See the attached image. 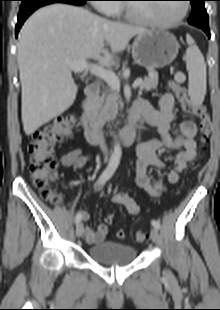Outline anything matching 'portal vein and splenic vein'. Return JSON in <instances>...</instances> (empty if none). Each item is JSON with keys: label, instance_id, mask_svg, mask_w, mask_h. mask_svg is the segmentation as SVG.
<instances>
[{"label": "portal vein and splenic vein", "instance_id": "obj_1", "mask_svg": "<svg viewBox=\"0 0 220 310\" xmlns=\"http://www.w3.org/2000/svg\"><path fill=\"white\" fill-rule=\"evenodd\" d=\"M70 68L75 73L89 71L92 75L103 79L114 91H119L120 81L112 71L97 65H90L87 61H75L70 64ZM142 83V79L138 78L134 81L132 87L136 89Z\"/></svg>", "mask_w": 220, "mask_h": 310}]
</instances>
